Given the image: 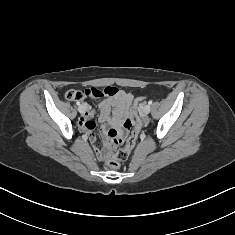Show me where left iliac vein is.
I'll use <instances>...</instances> for the list:
<instances>
[{
  "label": "left iliac vein",
  "mask_w": 235,
  "mask_h": 235,
  "mask_svg": "<svg viewBox=\"0 0 235 235\" xmlns=\"http://www.w3.org/2000/svg\"><path fill=\"white\" fill-rule=\"evenodd\" d=\"M150 110H151V107L149 104H146L144 107H143V113L144 114H149L150 113Z\"/></svg>",
  "instance_id": "1"
}]
</instances>
